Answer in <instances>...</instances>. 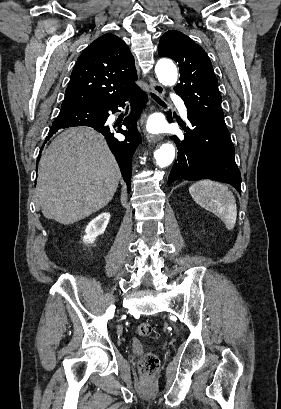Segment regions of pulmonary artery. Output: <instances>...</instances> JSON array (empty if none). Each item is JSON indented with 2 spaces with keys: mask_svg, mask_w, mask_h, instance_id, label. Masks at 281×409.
<instances>
[{
  "mask_svg": "<svg viewBox=\"0 0 281 409\" xmlns=\"http://www.w3.org/2000/svg\"><path fill=\"white\" fill-rule=\"evenodd\" d=\"M172 101H173L174 103H180V102L182 101V96H181L180 94H174V95L172 96ZM179 110H180L181 115H182L184 118H186L187 115H188V113H187V108H186V106H185L183 103H181V104L179 105Z\"/></svg>",
  "mask_w": 281,
  "mask_h": 409,
  "instance_id": "e3ab8cb5",
  "label": "pulmonary artery"
}]
</instances>
